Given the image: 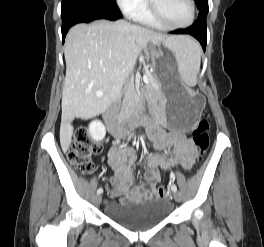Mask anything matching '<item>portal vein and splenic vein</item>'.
Returning a JSON list of instances; mask_svg holds the SVG:
<instances>
[{"mask_svg":"<svg viewBox=\"0 0 264 247\" xmlns=\"http://www.w3.org/2000/svg\"><path fill=\"white\" fill-rule=\"evenodd\" d=\"M143 81H144V83H148L149 82V79H148V77L146 75L143 76ZM96 95L98 97H102L103 94L101 92H97Z\"/></svg>","mask_w":264,"mask_h":247,"instance_id":"portal-vein-and-splenic-vein-1","label":"portal vein and splenic vein"}]
</instances>
